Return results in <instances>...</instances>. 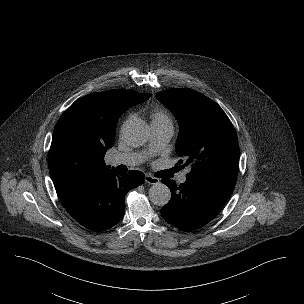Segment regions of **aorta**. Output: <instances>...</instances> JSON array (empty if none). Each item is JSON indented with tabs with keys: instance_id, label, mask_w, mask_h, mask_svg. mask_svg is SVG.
<instances>
[{
	"instance_id": "762f6f07",
	"label": "aorta",
	"mask_w": 304,
	"mask_h": 304,
	"mask_svg": "<svg viewBox=\"0 0 304 304\" xmlns=\"http://www.w3.org/2000/svg\"><path fill=\"white\" fill-rule=\"evenodd\" d=\"M122 136L127 145L138 147L147 141L149 128L140 120L129 121L123 126ZM149 198L153 204L164 206L171 199V191L165 184L157 182L149 189Z\"/></svg>"
}]
</instances>
